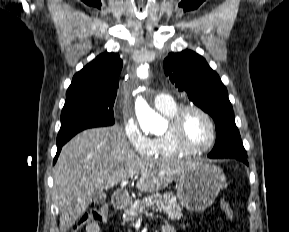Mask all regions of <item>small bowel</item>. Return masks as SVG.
<instances>
[{"instance_id":"obj_1","label":"small bowel","mask_w":289,"mask_h":232,"mask_svg":"<svg viewBox=\"0 0 289 232\" xmlns=\"http://www.w3.org/2000/svg\"><path fill=\"white\" fill-rule=\"evenodd\" d=\"M86 232H101V227L99 224L91 223L86 226ZM161 232H175V230L169 225H163Z\"/></svg>"}]
</instances>
